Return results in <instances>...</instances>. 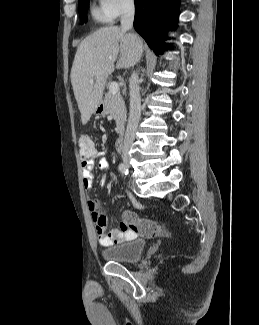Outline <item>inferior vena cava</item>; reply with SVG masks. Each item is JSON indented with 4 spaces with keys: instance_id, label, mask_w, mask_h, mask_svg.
I'll return each mask as SVG.
<instances>
[{
    "instance_id": "602c4592",
    "label": "inferior vena cava",
    "mask_w": 259,
    "mask_h": 325,
    "mask_svg": "<svg viewBox=\"0 0 259 325\" xmlns=\"http://www.w3.org/2000/svg\"><path fill=\"white\" fill-rule=\"evenodd\" d=\"M134 20V1L126 0L121 15V30L132 29ZM141 116V97L138 84V74L133 73L130 82V112L124 139V150L127 152L133 145L136 130Z\"/></svg>"
}]
</instances>
